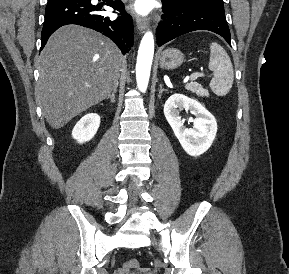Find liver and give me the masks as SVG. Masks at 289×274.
Returning a JSON list of instances; mask_svg holds the SVG:
<instances>
[{
	"label": "liver",
	"instance_id": "6515ba94",
	"mask_svg": "<svg viewBox=\"0 0 289 274\" xmlns=\"http://www.w3.org/2000/svg\"><path fill=\"white\" fill-rule=\"evenodd\" d=\"M123 56L101 34L76 25L58 29L39 57L35 88L54 129L107 98L118 84Z\"/></svg>",
	"mask_w": 289,
	"mask_h": 274
}]
</instances>
